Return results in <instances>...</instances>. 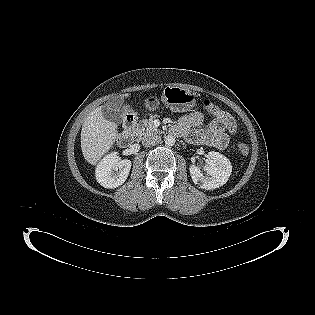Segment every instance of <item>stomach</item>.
<instances>
[{"instance_id": "0dacf381", "label": "stomach", "mask_w": 315, "mask_h": 315, "mask_svg": "<svg viewBox=\"0 0 315 315\" xmlns=\"http://www.w3.org/2000/svg\"><path fill=\"white\" fill-rule=\"evenodd\" d=\"M157 105V99H150ZM161 101L175 112L190 111L196 105L195 94L177 86H167L163 90Z\"/></svg>"}]
</instances>
